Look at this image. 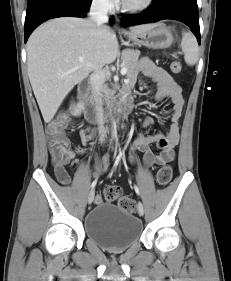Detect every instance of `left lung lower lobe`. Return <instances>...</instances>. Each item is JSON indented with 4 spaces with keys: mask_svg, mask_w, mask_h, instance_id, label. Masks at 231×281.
Returning a JSON list of instances; mask_svg holds the SVG:
<instances>
[{
    "mask_svg": "<svg viewBox=\"0 0 231 281\" xmlns=\"http://www.w3.org/2000/svg\"><path fill=\"white\" fill-rule=\"evenodd\" d=\"M163 19H173L189 26L200 44L198 6L196 0H156L153 7L140 15L122 17L125 26L153 23Z\"/></svg>",
    "mask_w": 231,
    "mask_h": 281,
    "instance_id": "obj_1",
    "label": "left lung lower lobe"
}]
</instances>
